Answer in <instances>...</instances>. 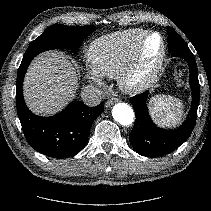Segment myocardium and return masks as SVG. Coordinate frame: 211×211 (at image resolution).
Masks as SVG:
<instances>
[{"label": "myocardium", "instance_id": "1", "mask_svg": "<svg viewBox=\"0 0 211 211\" xmlns=\"http://www.w3.org/2000/svg\"><path fill=\"white\" fill-rule=\"evenodd\" d=\"M152 36L160 39V52L155 62L145 72L142 71L143 50ZM167 57V44L158 31H146L117 73V82L122 90L131 94L141 93L150 88L159 78Z\"/></svg>", "mask_w": 211, "mask_h": 211}]
</instances>
